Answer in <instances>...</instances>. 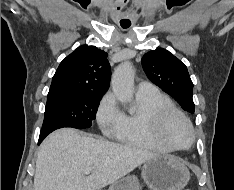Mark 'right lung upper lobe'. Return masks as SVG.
Returning <instances> with one entry per match:
<instances>
[{"mask_svg":"<svg viewBox=\"0 0 234 190\" xmlns=\"http://www.w3.org/2000/svg\"><path fill=\"white\" fill-rule=\"evenodd\" d=\"M110 76L107 53L82 45L60 63L50 90L102 96L109 88Z\"/></svg>","mask_w":234,"mask_h":190,"instance_id":"1","label":"right lung upper lobe"}]
</instances>
